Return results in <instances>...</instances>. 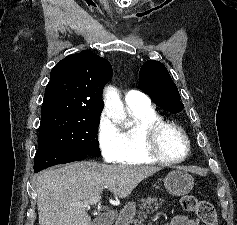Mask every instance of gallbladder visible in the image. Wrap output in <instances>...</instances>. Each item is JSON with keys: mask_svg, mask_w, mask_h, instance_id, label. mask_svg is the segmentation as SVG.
Masks as SVG:
<instances>
[{"mask_svg": "<svg viewBox=\"0 0 237 225\" xmlns=\"http://www.w3.org/2000/svg\"><path fill=\"white\" fill-rule=\"evenodd\" d=\"M114 219L107 220L105 216L100 217L97 219L93 225H111Z\"/></svg>", "mask_w": 237, "mask_h": 225, "instance_id": "gallbladder-1", "label": "gallbladder"}]
</instances>
